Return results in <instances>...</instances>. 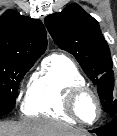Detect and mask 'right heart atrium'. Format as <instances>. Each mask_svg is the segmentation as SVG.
Segmentation results:
<instances>
[{
	"instance_id": "right-heart-atrium-1",
	"label": "right heart atrium",
	"mask_w": 117,
	"mask_h": 136,
	"mask_svg": "<svg viewBox=\"0 0 117 136\" xmlns=\"http://www.w3.org/2000/svg\"><path fill=\"white\" fill-rule=\"evenodd\" d=\"M21 96H22V90H19L17 93V100H20Z\"/></svg>"
}]
</instances>
